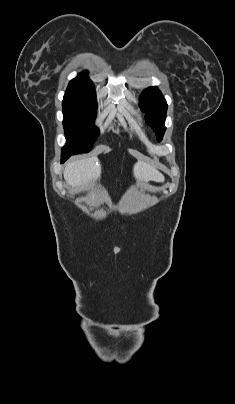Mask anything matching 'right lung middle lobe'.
<instances>
[{"label": "right lung middle lobe", "mask_w": 235, "mask_h": 404, "mask_svg": "<svg viewBox=\"0 0 235 404\" xmlns=\"http://www.w3.org/2000/svg\"><path fill=\"white\" fill-rule=\"evenodd\" d=\"M62 106L67 143L62 148L61 155L88 152L99 133L98 128L94 127L97 103L63 100Z\"/></svg>", "instance_id": "right-lung-middle-lobe-1"}]
</instances>
